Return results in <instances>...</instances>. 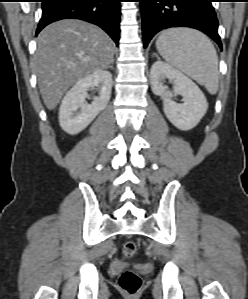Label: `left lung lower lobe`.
I'll return each mask as SVG.
<instances>
[{
    "instance_id": "left-lung-lower-lobe-1",
    "label": "left lung lower lobe",
    "mask_w": 248,
    "mask_h": 299,
    "mask_svg": "<svg viewBox=\"0 0 248 299\" xmlns=\"http://www.w3.org/2000/svg\"><path fill=\"white\" fill-rule=\"evenodd\" d=\"M213 0H139L142 10L144 48L159 31L191 27L210 36L222 49Z\"/></svg>"
}]
</instances>
